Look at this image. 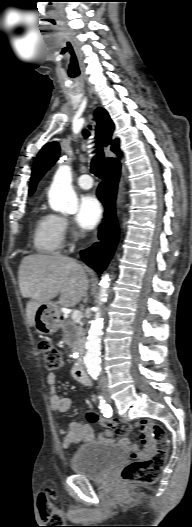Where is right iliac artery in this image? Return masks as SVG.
<instances>
[{"mask_svg":"<svg viewBox=\"0 0 192 527\" xmlns=\"http://www.w3.org/2000/svg\"><path fill=\"white\" fill-rule=\"evenodd\" d=\"M98 398H99V408L101 412L104 414L105 417H109L111 415L110 406L106 403V401L104 400L102 396H99Z\"/></svg>","mask_w":192,"mask_h":527,"instance_id":"1","label":"right iliac artery"}]
</instances>
